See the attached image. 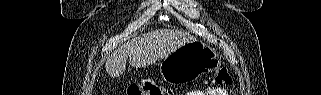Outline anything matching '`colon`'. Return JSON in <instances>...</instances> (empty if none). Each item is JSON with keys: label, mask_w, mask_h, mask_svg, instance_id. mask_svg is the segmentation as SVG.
Masks as SVG:
<instances>
[{"label": "colon", "mask_w": 321, "mask_h": 95, "mask_svg": "<svg viewBox=\"0 0 321 95\" xmlns=\"http://www.w3.org/2000/svg\"><path fill=\"white\" fill-rule=\"evenodd\" d=\"M210 82L217 85L230 86L234 83V78L226 69H219L213 73ZM128 95H164L166 92L153 80H144L140 84L133 83L127 89Z\"/></svg>", "instance_id": "obj_1"}]
</instances>
